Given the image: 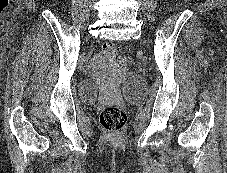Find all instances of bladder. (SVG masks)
I'll use <instances>...</instances> for the list:
<instances>
[{"mask_svg":"<svg viewBox=\"0 0 227 173\" xmlns=\"http://www.w3.org/2000/svg\"><path fill=\"white\" fill-rule=\"evenodd\" d=\"M120 90L125 99L135 102L141 99L144 94V83L137 77H128L121 85ZM98 92V86L90 81H84L80 85L79 94L84 102H93Z\"/></svg>","mask_w":227,"mask_h":173,"instance_id":"31cf9c89","label":"bladder"}]
</instances>
